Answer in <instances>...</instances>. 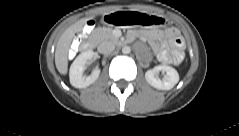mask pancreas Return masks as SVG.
<instances>
[{
  "mask_svg": "<svg viewBox=\"0 0 239 136\" xmlns=\"http://www.w3.org/2000/svg\"><path fill=\"white\" fill-rule=\"evenodd\" d=\"M97 42L104 40H110L115 43L119 42V38L113 34V30L109 28H97L93 31L91 35Z\"/></svg>",
  "mask_w": 239,
  "mask_h": 136,
  "instance_id": "cf45deb5",
  "label": "pancreas"
}]
</instances>
